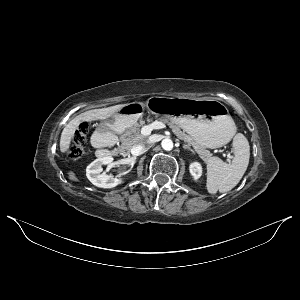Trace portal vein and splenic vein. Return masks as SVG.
<instances>
[{
    "label": "portal vein and splenic vein",
    "instance_id": "obj_1",
    "mask_svg": "<svg viewBox=\"0 0 300 300\" xmlns=\"http://www.w3.org/2000/svg\"><path fill=\"white\" fill-rule=\"evenodd\" d=\"M165 128V124H163L162 122L159 121H154L152 124L150 125H146L142 128V132L144 133V135H150L153 129H162ZM228 158H230L229 155H227Z\"/></svg>",
    "mask_w": 300,
    "mask_h": 300
}]
</instances>
